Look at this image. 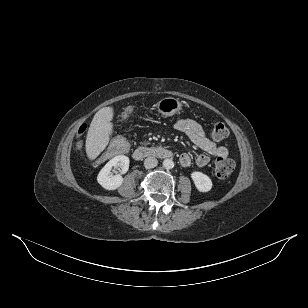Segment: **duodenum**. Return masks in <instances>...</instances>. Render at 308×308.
Instances as JSON below:
<instances>
[{"mask_svg":"<svg viewBox=\"0 0 308 308\" xmlns=\"http://www.w3.org/2000/svg\"><path fill=\"white\" fill-rule=\"evenodd\" d=\"M135 160H142L147 157H157L168 159L173 156V152L163 147H139L132 154Z\"/></svg>","mask_w":308,"mask_h":308,"instance_id":"obj_1","label":"duodenum"}]
</instances>
